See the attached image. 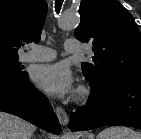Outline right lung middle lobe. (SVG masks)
<instances>
[{"label": "right lung middle lobe", "instance_id": "right-lung-middle-lobe-1", "mask_svg": "<svg viewBox=\"0 0 141 139\" xmlns=\"http://www.w3.org/2000/svg\"><path fill=\"white\" fill-rule=\"evenodd\" d=\"M19 56H0V82H13L28 76L27 72L22 71L18 61Z\"/></svg>", "mask_w": 141, "mask_h": 139}]
</instances>
